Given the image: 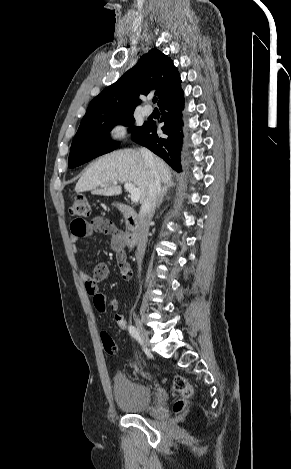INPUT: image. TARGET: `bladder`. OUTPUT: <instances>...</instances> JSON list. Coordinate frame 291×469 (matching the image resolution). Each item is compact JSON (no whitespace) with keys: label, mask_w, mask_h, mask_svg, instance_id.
Listing matches in <instances>:
<instances>
[{"label":"bladder","mask_w":291,"mask_h":469,"mask_svg":"<svg viewBox=\"0 0 291 469\" xmlns=\"http://www.w3.org/2000/svg\"><path fill=\"white\" fill-rule=\"evenodd\" d=\"M114 401L119 409L128 413L147 410L152 403L150 388L117 372L113 380Z\"/></svg>","instance_id":"31cf9c89"}]
</instances>
